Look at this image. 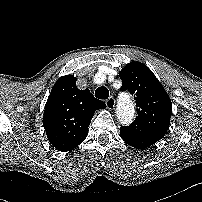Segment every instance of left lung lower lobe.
I'll return each instance as SVG.
<instances>
[{"mask_svg":"<svg viewBox=\"0 0 202 202\" xmlns=\"http://www.w3.org/2000/svg\"><path fill=\"white\" fill-rule=\"evenodd\" d=\"M120 136L127 144L137 149H145L158 141L151 138L136 136L122 127L120 128Z\"/></svg>","mask_w":202,"mask_h":202,"instance_id":"1","label":"left lung lower lobe"}]
</instances>
